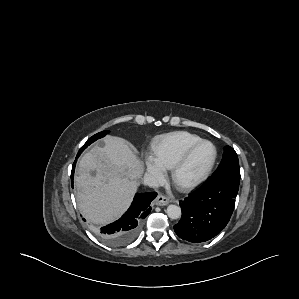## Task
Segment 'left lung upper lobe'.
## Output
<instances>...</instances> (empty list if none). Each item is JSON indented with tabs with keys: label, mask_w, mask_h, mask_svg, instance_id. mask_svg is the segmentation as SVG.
I'll return each mask as SVG.
<instances>
[{
	"label": "left lung upper lobe",
	"mask_w": 299,
	"mask_h": 299,
	"mask_svg": "<svg viewBox=\"0 0 299 299\" xmlns=\"http://www.w3.org/2000/svg\"><path fill=\"white\" fill-rule=\"evenodd\" d=\"M209 180H229L240 183V168L237 154L230 146L225 147L221 163Z\"/></svg>",
	"instance_id": "5c2ea615"
}]
</instances>
